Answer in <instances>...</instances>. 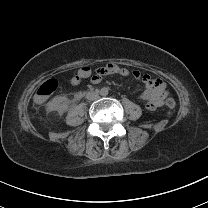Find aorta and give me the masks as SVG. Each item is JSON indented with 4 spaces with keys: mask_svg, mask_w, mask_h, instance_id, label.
<instances>
[{
    "mask_svg": "<svg viewBox=\"0 0 208 208\" xmlns=\"http://www.w3.org/2000/svg\"><path fill=\"white\" fill-rule=\"evenodd\" d=\"M99 94H100L102 97H104V98L109 97L110 92H109L108 87H106V86L101 87V88L99 89Z\"/></svg>",
    "mask_w": 208,
    "mask_h": 208,
    "instance_id": "762f6f07",
    "label": "aorta"
}]
</instances>
